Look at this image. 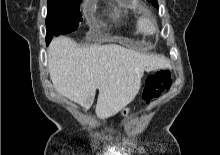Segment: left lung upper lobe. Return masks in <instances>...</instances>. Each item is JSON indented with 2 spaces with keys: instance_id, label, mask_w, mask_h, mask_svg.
<instances>
[{
  "instance_id": "1",
  "label": "left lung upper lobe",
  "mask_w": 220,
  "mask_h": 155,
  "mask_svg": "<svg viewBox=\"0 0 220 155\" xmlns=\"http://www.w3.org/2000/svg\"><path fill=\"white\" fill-rule=\"evenodd\" d=\"M147 1H149V2L152 3L155 7L158 8L157 0H147Z\"/></svg>"
}]
</instances>
